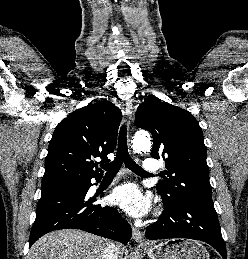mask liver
Listing matches in <instances>:
<instances>
[{
    "label": "liver",
    "mask_w": 248,
    "mask_h": 259,
    "mask_svg": "<svg viewBox=\"0 0 248 259\" xmlns=\"http://www.w3.org/2000/svg\"><path fill=\"white\" fill-rule=\"evenodd\" d=\"M107 242L96 235L63 229L50 232L38 239L30 248L27 259H102ZM118 259H122L124 247L117 246Z\"/></svg>",
    "instance_id": "liver-1"
}]
</instances>
